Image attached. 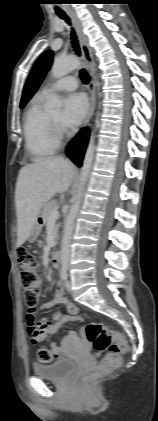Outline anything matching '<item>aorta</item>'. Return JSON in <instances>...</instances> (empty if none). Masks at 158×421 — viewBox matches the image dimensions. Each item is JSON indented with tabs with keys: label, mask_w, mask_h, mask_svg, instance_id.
Returning a JSON list of instances; mask_svg holds the SVG:
<instances>
[{
	"label": "aorta",
	"mask_w": 158,
	"mask_h": 421,
	"mask_svg": "<svg viewBox=\"0 0 158 421\" xmlns=\"http://www.w3.org/2000/svg\"><path fill=\"white\" fill-rule=\"evenodd\" d=\"M81 66V62L77 58H56L53 62V65L51 67V74L54 78H61L71 71L79 68ZM61 101L60 99L54 95L49 104L48 107L53 111H59L61 109ZM94 133H91L89 144L84 156L83 166L81 168L80 173V182L77 190V194L75 196V202L70 208V211L68 215L65 218L64 222V230H63V238H62V244H61V253H60V259L62 263H67L70 256V245H71V239L73 234V228H74V221L77 216V213L80 208L81 204V198L83 195V189L86 183V180L89 176L92 162L94 158Z\"/></svg>",
	"instance_id": "1"
}]
</instances>
